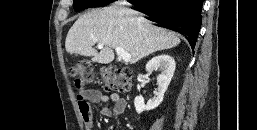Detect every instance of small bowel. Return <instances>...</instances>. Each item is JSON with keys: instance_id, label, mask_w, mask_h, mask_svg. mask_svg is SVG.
<instances>
[{"instance_id": "obj_1", "label": "small bowel", "mask_w": 257, "mask_h": 130, "mask_svg": "<svg viewBox=\"0 0 257 130\" xmlns=\"http://www.w3.org/2000/svg\"><path fill=\"white\" fill-rule=\"evenodd\" d=\"M90 103L100 104V114L104 117L119 116L126 110L125 99L118 94H104L98 89H87L77 96V104L86 130H95V120L92 115ZM112 103V107L107 106Z\"/></svg>"}]
</instances>
